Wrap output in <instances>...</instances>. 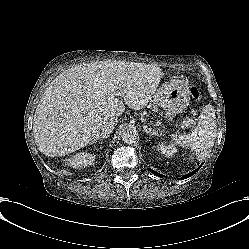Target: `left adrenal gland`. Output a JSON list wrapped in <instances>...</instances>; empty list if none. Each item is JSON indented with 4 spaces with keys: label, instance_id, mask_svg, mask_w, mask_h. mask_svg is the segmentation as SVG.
I'll return each instance as SVG.
<instances>
[{
    "label": "left adrenal gland",
    "instance_id": "a2214340",
    "mask_svg": "<svg viewBox=\"0 0 249 249\" xmlns=\"http://www.w3.org/2000/svg\"><path fill=\"white\" fill-rule=\"evenodd\" d=\"M143 131L146 132L149 136H159V134L154 129L148 128L147 126H143Z\"/></svg>",
    "mask_w": 249,
    "mask_h": 249
}]
</instances>
